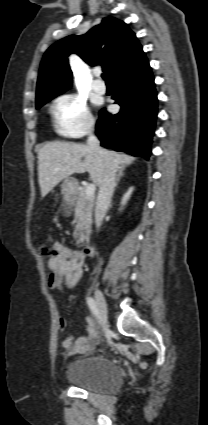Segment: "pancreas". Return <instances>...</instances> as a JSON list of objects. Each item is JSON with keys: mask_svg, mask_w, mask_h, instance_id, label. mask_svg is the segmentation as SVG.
Here are the masks:
<instances>
[{"mask_svg": "<svg viewBox=\"0 0 208 425\" xmlns=\"http://www.w3.org/2000/svg\"><path fill=\"white\" fill-rule=\"evenodd\" d=\"M95 198L86 194V187H83L78 194L74 211V223H76L73 237L76 246L80 247L91 232L92 210Z\"/></svg>", "mask_w": 208, "mask_h": 425, "instance_id": "cf45deb5", "label": "pancreas"}]
</instances>
